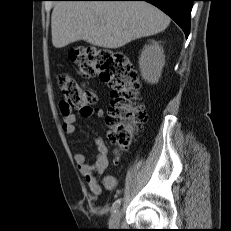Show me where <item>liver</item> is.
Listing matches in <instances>:
<instances>
[{
    "label": "liver",
    "instance_id": "liver-1",
    "mask_svg": "<svg viewBox=\"0 0 231 231\" xmlns=\"http://www.w3.org/2000/svg\"><path fill=\"white\" fill-rule=\"evenodd\" d=\"M170 18L140 1H59L51 15L52 43L56 48L84 40L117 49L142 37L164 31Z\"/></svg>",
    "mask_w": 231,
    "mask_h": 231
}]
</instances>
